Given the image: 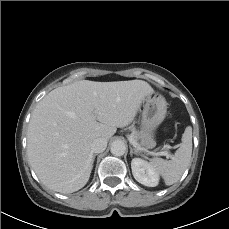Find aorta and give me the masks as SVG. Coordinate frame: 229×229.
<instances>
[{"label": "aorta", "instance_id": "762f6f07", "mask_svg": "<svg viewBox=\"0 0 229 229\" xmlns=\"http://www.w3.org/2000/svg\"><path fill=\"white\" fill-rule=\"evenodd\" d=\"M125 151H126V145L123 141L117 140L111 144V153L114 156H122L124 155Z\"/></svg>", "mask_w": 229, "mask_h": 229}]
</instances>
